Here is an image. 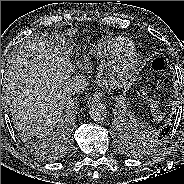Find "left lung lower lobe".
Returning <instances> with one entry per match:
<instances>
[{
    "mask_svg": "<svg viewBox=\"0 0 184 184\" xmlns=\"http://www.w3.org/2000/svg\"><path fill=\"white\" fill-rule=\"evenodd\" d=\"M173 122V121H172ZM170 129H171V125H167V126H164L161 130H159L158 132H157V134H155L154 136L157 138V137H159V138H165L167 135H168V133L170 132Z\"/></svg>",
    "mask_w": 184,
    "mask_h": 184,
    "instance_id": "obj_1",
    "label": "left lung lower lobe"
}]
</instances>
